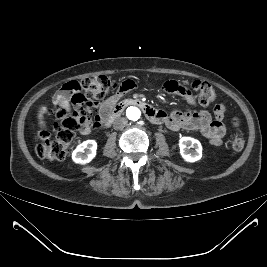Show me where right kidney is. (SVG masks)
<instances>
[{"instance_id":"right-kidney-1","label":"right kidney","mask_w":267,"mask_h":267,"mask_svg":"<svg viewBox=\"0 0 267 267\" xmlns=\"http://www.w3.org/2000/svg\"><path fill=\"white\" fill-rule=\"evenodd\" d=\"M97 150V142L95 140H87L77 146L72 153V159L75 163H89L95 156Z\"/></svg>"}]
</instances>
